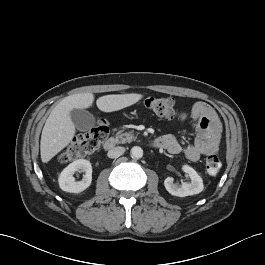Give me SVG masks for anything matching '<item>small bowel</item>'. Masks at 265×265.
<instances>
[{
    "label": "small bowel",
    "instance_id": "c3829d8e",
    "mask_svg": "<svg viewBox=\"0 0 265 265\" xmlns=\"http://www.w3.org/2000/svg\"><path fill=\"white\" fill-rule=\"evenodd\" d=\"M192 115L197 122L192 144L182 146L177 138L170 134L160 138L163 141L162 148L170 154L183 153L187 159L197 161L202 156L218 152L222 126L216 111L206 102H196L192 107Z\"/></svg>",
    "mask_w": 265,
    "mask_h": 265
}]
</instances>
